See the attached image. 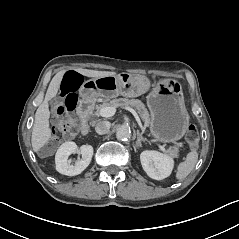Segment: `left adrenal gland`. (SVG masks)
<instances>
[{
    "instance_id": "a2214340",
    "label": "left adrenal gland",
    "mask_w": 239,
    "mask_h": 239,
    "mask_svg": "<svg viewBox=\"0 0 239 239\" xmlns=\"http://www.w3.org/2000/svg\"><path fill=\"white\" fill-rule=\"evenodd\" d=\"M141 141H145L142 134L139 132V130H137V141H136V145L137 146H141Z\"/></svg>"
}]
</instances>
